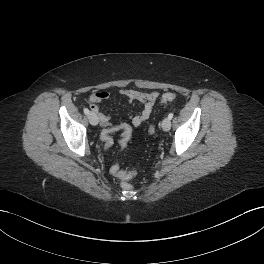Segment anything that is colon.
<instances>
[{
    "label": "colon",
    "instance_id": "colon-1",
    "mask_svg": "<svg viewBox=\"0 0 264 264\" xmlns=\"http://www.w3.org/2000/svg\"><path fill=\"white\" fill-rule=\"evenodd\" d=\"M175 99H176L175 93L167 92L161 96V103H169L174 101ZM149 131L153 132L154 128L150 126ZM112 133L113 132L110 130L102 131L101 140L105 148H110L113 145ZM121 134L123 136V141L126 147V145L128 144L131 138V133L128 131H123ZM135 175H136V171H122V170L115 171V176L121 180L122 189L126 191L132 190L133 187L128 181L132 179Z\"/></svg>",
    "mask_w": 264,
    "mask_h": 264
}]
</instances>
